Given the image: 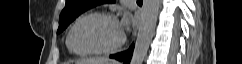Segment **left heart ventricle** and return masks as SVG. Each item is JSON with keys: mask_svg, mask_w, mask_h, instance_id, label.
Masks as SVG:
<instances>
[{"mask_svg": "<svg viewBox=\"0 0 242 64\" xmlns=\"http://www.w3.org/2000/svg\"><path fill=\"white\" fill-rule=\"evenodd\" d=\"M119 25L102 17H90L81 21L74 30L72 43L79 51L111 47L119 41Z\"/></svg>", "mask_w": 242, "mask_h": 64, "instance_id": "1", "label": "left heart ventricle"}]
</instances>
